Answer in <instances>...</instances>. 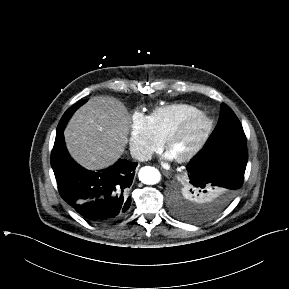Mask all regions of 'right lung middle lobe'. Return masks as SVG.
<instances>
[{
  "instance_id": "1",
  "label": "right lung middle lobe",
  "mask_w": 289,
  "mask_h": 289,
  "mask_svg": "<svg viewBox=\"0 0 289 289\" xmlns=\"http://www.w3.org/2000/svg\"><path fill=\"white\" fill-rule=\"evenodd\" d=\"M87 100H81L78 103H76L75 105H73L72 107H70L63 115V117L61 118L58 127H57V132L61 131L64 129L67 121L69 120V118L71 117V115L75 112L76 109H78L81 105H83ZM56 132V133H57Z\"/></svg>"
}]
</instances>
